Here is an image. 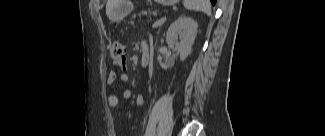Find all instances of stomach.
Instances as JSON below:
<instances>
[{"instance_id": "stomach-1", "label": "stomach", "mask_w": 325, "mask_h": 136, "mask_svg": "<svg viewBox=\"0 0 325 136\" xmlns=\"http://www.w3.org/2000/svg\"><path fill=\"white\" fill-rule=\"evenodd\" d=\"M159 4L169 6L178 2V0H156ZM131 10V3L128 0H118L112 13V21L122 20Z\"/></svg>"}]
</instances>
